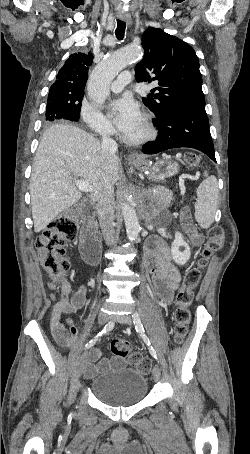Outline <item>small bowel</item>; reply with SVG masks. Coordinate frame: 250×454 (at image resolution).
<instances>
[{"mask_svg":"<svg viewBox=\"0 0 250 454\" xmlns=\"http://www.w3.org/2000/svg\"><path fill=\"white\" fill-rule=\"evenodd\" d=\"M180 221L190 242L195 246L200 245L203 238L195 230L187 209L181 212ZM146 264L152 276L156 295L164 304H170L173 292L178 287L181 278L180 270L173 260L170 246L158 238L149 240L146 245ZM63 294L66 296L71 294L69 285L63 290ZM86 295L87 289L82 285L71 294L70 299L58 302L52 309L50 328L53 337L61 347H72L77 343L78 331L76 326L70 319L66 320L67 326H65L61 319L64 314H71L80 310L85 305ZM110 364L109 359L101 358L99 348H93L84 366L85 376L92 378L98 373L106 371Z\"/></svg>","mask_w":250,"mask_h":454,"instance_id":"small-bowel-1","label":"small bowel"}]
</instances>
